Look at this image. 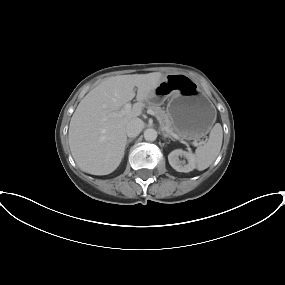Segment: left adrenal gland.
<instances>
[{
  "mask_svg": "<svg viewBox=\"0 0 285 285\" xmlns=\"http://www.w3.org/2000/svg\"><path fill=\"white\" fill-rule=\"evenodd\" d=\"M162 135H163V137L164 138H169V139H171L172 141H174V139L168 134V133H166V132H162Z\"/></svg>",
  "mask_w": 285,
  "mask_h": 285,
  "instance_id": "obj_1",
  "label": "left adrenal gland"
}]
</instances>
